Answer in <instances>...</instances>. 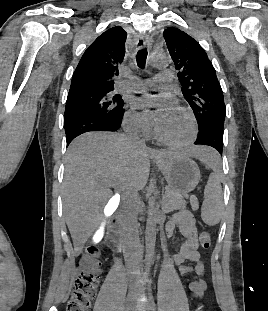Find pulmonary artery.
Listing matches in <instances>:
<instances>
[{"label":"pulmonary artery","instance_id":"1","mask_svg":"<svg viewBox=\"0 0 268 311\" xmlns=\"http://www.w3.org/2000/svg\"><path fill=\"white\" fill-rule=\"evenodd\" d=\"M173 78H174L173 72L169 69H166V70H162L161 72H159L158 75L155 77V79L136 78V81L133 85H130L129 82H124L123 88L124 89H128V88L144 89V88L151 86L155 81L170 82L173 80Z\"/></svg>","mask_w":268,"mask_h":311}]
</instances>
